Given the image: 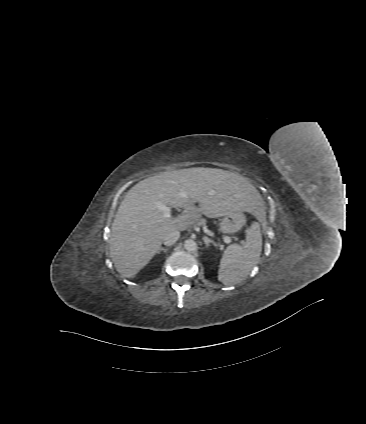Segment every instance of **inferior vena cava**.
Listing matches in <instances>:
<instances>
[{"label":"inferior vena cava","instance_id":"inferior-vena-cava-1","mask_svg":"<svg viewBox=\"0 0 366 424\" xmlns=\"http://www.w3.org/2000/svg\"><path fill=\"white\" fill-rule=\"evenodd\" d=\"M179 237H180L179 230H171L167 232L166 235L164 236L163 243L166 246H171L179 239Z\"/></svg>","mask_w":366,"mask_h":424}]
</instances>
